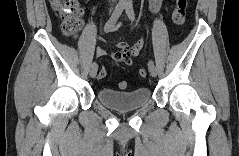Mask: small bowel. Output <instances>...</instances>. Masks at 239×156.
<instances>
[{
	"instance_id": "obj_1",
	"label": "small bowel",
	"mask_w": 239,
	"mask_h": 156,
	"mask_svg": "<svg viewBox=\"0 0 239 156\" xmlns=\"http://www.w3.org/2000/svg\"><path fill=\"white\" fill-rule=\"evenodd\" d=\"M150 10L153 13H158L162 7L161 0H151L149 2ZM115 31L120 29V24L114 25ZM144 47V39H138L134 44L129 45L125 42L115 43V50H111L109 55L116 61L121 62L127 66H132L134 63V58L138 57L141 54V51ZM98 56L106 55L104 50L97 51Z\"/></svg>"
}]
</instances>
